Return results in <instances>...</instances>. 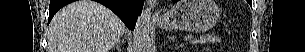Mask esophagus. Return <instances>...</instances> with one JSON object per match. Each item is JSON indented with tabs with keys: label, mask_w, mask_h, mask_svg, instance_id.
Returning <instances> with one entry per match:
<instances>
[{
	"label": "esophagus",
	"mask_w": 305,
	"mask_h": 52,
	"mask_svg": "<svg viewBox=\"0 0 305 52\" xmlns=\"http://www.w3.org/2000/svg\"><path fill=\"white\" fill-rule=\"evenodd\" d=\"M147 3L150 5V7H154L156 1L155 0H147Z\"/></svg>",
	"instance_id": "34e87169"
}]
</instances>
